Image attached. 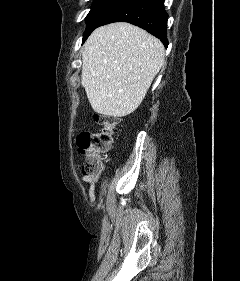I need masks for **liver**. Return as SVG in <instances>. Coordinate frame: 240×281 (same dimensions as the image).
Returning a JSON list of instances; mask_svg holds the SVG:
<instances>
[{
    "label": "liver",
    "instance_id": "6515ba94",
    "mask_svg": "<svg viewBox=\"0 0 240 281\" xmlns=\"http://www.w3.org/2000/svg\"><path fill=\"white\" fill-rule=\"evenodd\" d=\"M164 55L159 39L129 23L94 30L84 45L81 74L93 110L113 117L134 112L163 66Z\"/></svg>",
    "mask_w": 240,
    "mask_h": 281
}]
</instances>
